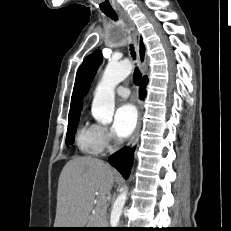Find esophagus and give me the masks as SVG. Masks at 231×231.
Returning <instances> with one entry per match:
<instances>
[{
  "label": "esophagus",
  "instance_id": "34e87169",
  "mask_svg": "<svg viewBox=\"0 0 231 231\" xmlns=\"http://www.w3.org/2000/svg\"><path fill=\"white\" fill-rule=\"evenodd\" d=\"M129 22H130V25H131V28L133 31L134 45H135V49H136V53H137V63H138L139 68L143 69L144 64L141 62L140 56H139L140 34L138 33V31L135 28L132 21H129ZM142 114H143V106H142V102H139L137 125H136V128H135L133 135L131 136V138L129 139V141L126 145L127 149H129V150H131L136 145V143L138 142L139 134H140V130H141V124H142L141 123Z\"/></svg>",
  "mask_w": 231,
  "mask_h": 231
}]
</instances>
